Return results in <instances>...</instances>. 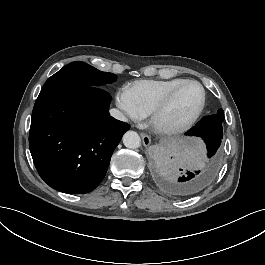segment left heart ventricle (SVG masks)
<instances>
[{
	"instance_id": "left-heart-ventricle-1",
	"label": "left heart ventricle",
	"mask_w": 265,
	"mask_h": 265,
	"mask_svg": "<svg viewBox=\"0 0 265 265\" xmlns=\"http://www.w3.org/2000/svg\"><path fill=\"white\" fill-rule=\"evenodd\" d=\"M201 98L202 91L198 84L184 85L173 104L162 114L160 122L165 126L182 122L198 108Z\"/></svg>"
}]
</instances>
